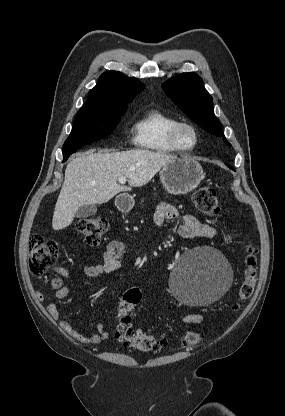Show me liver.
I'll return each mask as SVG.
<instances>
[{
  "label": "liver",
  "instance_id": "obj_1",
  "mask_svg": "<svg viewBox=\"0 0 285 416\" xmlns=\"http://www.w3.org/2000/svg\"><path fill=\"white\" fill-rule=\"evenodd\" d=\"M88 150L69 162L65 180L55 204L53 230L70 226L77 210L89 204H106L119 192H129L127 186L117 184L120 176L128 178L131 188L146 186L168 162L177 160L168 152L129 150L105 152Z\"/></svg>",
  "mask_w": 285,
  "mask_h": 416
}]
</instances>
